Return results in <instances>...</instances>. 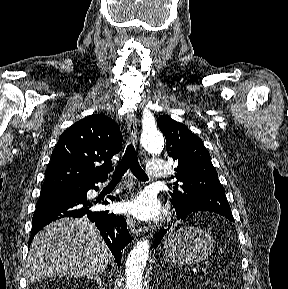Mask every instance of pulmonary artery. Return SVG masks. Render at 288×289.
Segmentation results:
<instances>
[{
	"label": "pulmonary artery",
	"instance_id": "e3ab8cb5",
	"mask_svg": "<svg viewBox=\"0 0 288 289\" xmlns=\"http://www.w3.org/2000/svg\"><path fill=\"white\" fill-rule=\"evenodd\" d=\"M166 168L163 160L151 159L146 165V173L151 178H163L166 176Z\"/></svg>",
	"mask_w": 288,
	"mask_h": 289
}]
</instances>
